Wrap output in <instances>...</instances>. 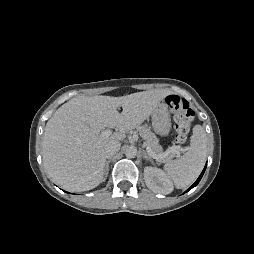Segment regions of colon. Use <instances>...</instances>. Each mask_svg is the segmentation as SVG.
Here are the masks:
<instances>
[{
	"mask_svg": "<svg viewBox=\"0 0 254 254\" xmlns=\"http://www.w3.org/2000/svg\"><path fill=\"white\" fill-rule=\"evenodd\" d=\"M166 102L174 114L175 139L178 143H183L191 129L194 120V111L189 103L177 95H169Z\"/></svg>",
	"mask_w": 254,
	"mask_h": 254,
	"instance_id": "1",
	"label": "colon"
}]
</instances>
